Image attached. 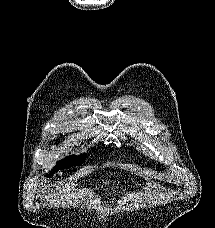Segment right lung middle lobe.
Segmentation results:
<instances>
[{"label":"right lung middle lobe","mask_w":215,"mask_h":228,"mask_svg":"<svg viewBox=\"0 0 215 228\" xmlns=\"http://www.w3.org/2000/svg\"><path fill=\"white\" fill-rule=\"evenodd\" d=\"M86 155H81V156H68L67 158L58 161L56 167L54 168V170H61L64 168H69L72 167L74 165H81L84 161ZM47 176H51V174H48Z\"/></svg>","instance_id":"dd1d6c3e"}]
</instances>
